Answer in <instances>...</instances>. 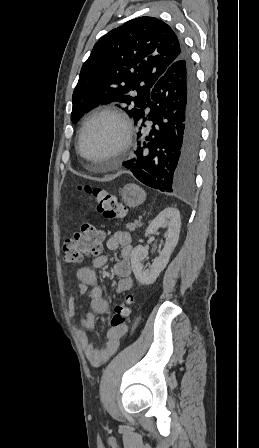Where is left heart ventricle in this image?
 <instances>
[{
    "label": "left heart ventricle",
    "mask_w": 259,
    "mask_h": 448,
    "mask_svg": "<svg viewBox=\"0 0 259 448\" xmlns=\"http://www.w3.org/2000/svg\"><path fill=\"white\" fill-rule=\"evenodd\" d=\"M119 123L110 117L93 121L85 130L81 140V158L87 162H106L111 159V147L120 136Z\"/></svg>",
    "instance_id": "b2bd125f"
}]
</instances>
